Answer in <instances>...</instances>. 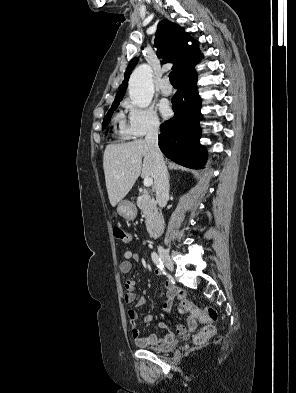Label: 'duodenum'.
I'll return each mask as SVG.
<instances>
[{
  "label": "duodenum",
  "instance_id": "duodenum-1",
  "mask_svg": "<svg viewBox=\"0 0 296 393\" xmlns=\"http://www.w3.org/2000/svg\"><path fill=\"white\" fill-rule=\"evenodd\" d=\"M150 234L153 238H158L161 234V226L159 224L154 225L150 229Z\"/></svg>",
  "mask_w": 296,
  "mask_h": 393
}]
</instances>
